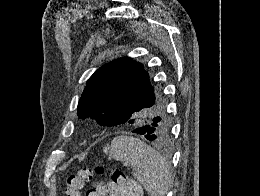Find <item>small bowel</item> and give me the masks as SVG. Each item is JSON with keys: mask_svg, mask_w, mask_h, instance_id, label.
<instances>
[{"mask_svg": "<svg viewBox=\"0 0 260 196\" xmlns=\"http://www.w3.org/2000/svg\"><path fill=\"white\" fill-rule=\"evenodd\" d=\"M111 186L104 181H96L86 193V196H106L110 192Z\"/></svg>", "mask_w": 260, "mask_h": 196, "instance_id": "c3829d8e", "label": "small bowel"}]
</instances>
